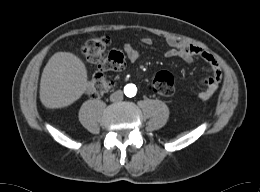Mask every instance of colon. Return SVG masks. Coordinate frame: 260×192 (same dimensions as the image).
I'll use <instances>...</instances> for the list:
<instances>
[{
    "instance_id": "colon-1",
    "label": "colon",
    "mask_w": 260,
    "mask_h": 192,
    "mask_svg": "<svg viewBox=\"0 0 260 192\" xmlns=\"http://www.w3.org/2000/svg\"><path fill=\"white\" fill-rule=\"evenodd\" d=\"M109 39L95 36L88 39L81 47L82 54L88 62L96 65L98 73L87 85V93L99 98L113 87V82L106 76L107 71H121L125 67L124 55L119 51L106 52ZM149 90L160 96H171L174 93V77L167 71H161L149 83Z\"/></svg>"
}]
</instances>
